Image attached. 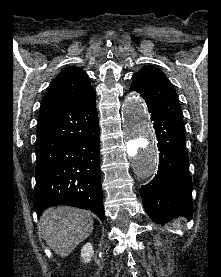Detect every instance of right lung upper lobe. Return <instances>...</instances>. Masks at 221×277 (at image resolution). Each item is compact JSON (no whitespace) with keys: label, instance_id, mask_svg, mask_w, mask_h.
<instances>
[{"label":"right lung upper lobe","instance_id":"right-lung-upper-lobe-1","mask_svg":"<svg viewBox=\"0 0 221 277\" xmlns=\"http://www.w3.org/2000/svg\"><path fill=\"white\" fill-rule=\"evenodd\" d=\"M93 91L88 75L81 68H65L49 85L41 107L71 103Z\"/></svg>","mask_w":221,"mask_h":277}]
</instances>
